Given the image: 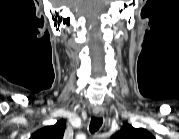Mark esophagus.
Wrapping results in <instances>:
<instances>
[{
	"label": "esophagus",
	"mask_w": 179,
	"mask_h": 139,
	"mask_svg": "<svg viewBox=\"0 0 179 139\" xmlns=\"http://www.w3.org/2000/svg\"><path fill=\"white\" fill-rule=\"evenodd\" d=\"M93 113L96 117H102L104 115V110L103 109H94Z\"/></svg>",
	"instance_id": "34e87169"
}]
</instances>
